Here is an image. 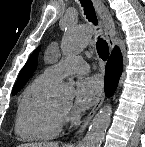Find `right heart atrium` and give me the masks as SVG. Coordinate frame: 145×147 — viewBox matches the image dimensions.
I'll return each mask as SVG.
<instances>
[{
    "mask_svg": "<svg viewBox=\"0 0 145 147\" xmlns=\"http://www.w3.org/2000/svg\"><path fill=\"white\" fill-rule=\"evenodd\" d=\"M70 119V115L67 112L62 113V124H66Z\"/></svg>",
    "mask_w": 145,
    "mask_h": 147,
    "instance_id": "d8ad5b80",
    "label": "right heart atrium"
}]
</instances>
